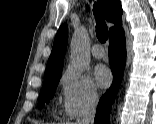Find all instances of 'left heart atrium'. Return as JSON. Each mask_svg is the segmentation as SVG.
<instances>
[{
	"label": "left heart atrium",
	"instance_id": "obj_1",
	"mask_svg": "<svg viewBox=\"0 0 156 124\" xmlns=\"http://www.w3.org/2000/svg\"><path fill=\"white\" fill-rule=\"evenodd\" d=\"M94 79L101 88L108 87L112 82V74L105 65H97L94 69Z\"/></svg>",
	"mask_w": 156,
	"mask_h": 124
}]
</instances>
